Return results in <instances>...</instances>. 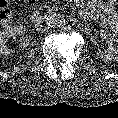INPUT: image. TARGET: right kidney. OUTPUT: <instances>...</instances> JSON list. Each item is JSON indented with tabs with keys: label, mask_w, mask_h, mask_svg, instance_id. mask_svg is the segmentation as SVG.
Returning a JSON list of instances; mask_svg holds the SVG:
<instances>
[{
	"label": "right kidney",
	"mask_w": 118,
	"mask_h": 118,
	"mask_svg": "<svg viewBox=\"0 0 118 118\" xmlns=\"http://www.w3.org/2000/svg\"><path fill=\"white\" fill-rule=\"evenodd\" d=\"M26 32V27L22 24L19 25H10L0 31V53L4 55H9L11 50L6 45V42L10 37H14L17 35H24ZM23 46H27V42L22 44Z\"/></svg>",
	"instance_id": "right-kidney-1"
}]
</instances>
